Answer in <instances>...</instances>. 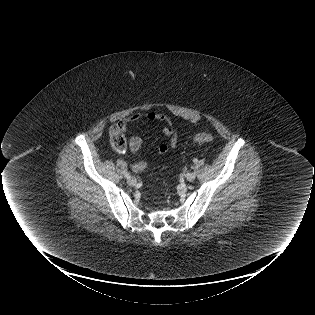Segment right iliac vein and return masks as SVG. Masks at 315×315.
<instances>
[{
	"mask_svg": "<svg viewBox=\"0 0 315 315\" xmlns=\"http://www.w3.org/2000/svg\"><path fill=\"white\" fill-rule=\"evenodd\" d=\"M127 182L129 185L134 186V185H136L137 180L134 177H130Z\"/></svg>",
	"mask_w": 315,
	"mask_h": 315,
	"instance_id": "right-iliac-vein-1",
	"label": "right iliac vein"
}]
</instances>
